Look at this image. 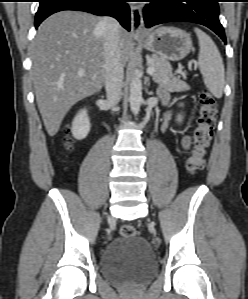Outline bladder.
<instances>
[{"label":"bladder","instance_id":"31cf9c89","mask_svg":"<svg viewBox=\"0 0 248 299\" xmlns=\"http://www.w3.org/2000/svg\"><path fill=\"white\" fill-rule=\"evenodd\" d=\"M101 273L115 284H142L157 272L155 255L140 236L111 241L101 258Z\"/></svg>","mask_w":248,"mask_h":299}]
</instances>
